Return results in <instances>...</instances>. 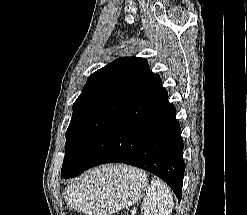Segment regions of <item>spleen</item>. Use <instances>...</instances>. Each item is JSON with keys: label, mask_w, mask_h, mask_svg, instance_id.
<instances>
[{"label": "spleen", "mask_w": 247, "mask_h": 215, "mask_svg": "<svg viewBox=\"0 0 247 215\" xmlns=\"http://www.w3.org/2000/svg\"><path fill=\"white\" fill-rule=\"evenodd\" d=\"M142 207L144 215H171L174 208L171 189L159 178H154L148 186Z\"/></svg>", "instance_id": "spleen-1"}]
</instances>
